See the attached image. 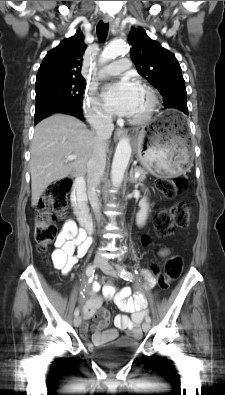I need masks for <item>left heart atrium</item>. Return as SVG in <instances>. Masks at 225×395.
Masks as SVG:
<instances>
[{
  "mask_svg": "<svg viewBox=\"0 0 225 395\" xmlns=\"http://www.w3.org/2000/svg\"><path fill=\"white\" fill-rule=\"evenodd\" d=\"M140 87L129 78L108 85L102 92L106 108L119 116H132L138 102Z\"/></svg>",
  "mask_w": 225,
  "mask_h": 395,
  "instance_id": "1",
  "label": "left heart atrium"
}]
</instances>
